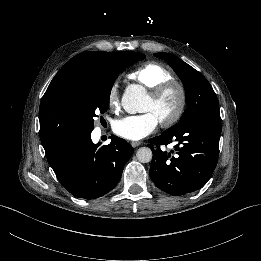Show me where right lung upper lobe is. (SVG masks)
I'll use <instances>...</instances> for the list:
<instances>
[{
	"instance_id": "obj_1",
	"label": "right lung upper lobe",
	"mask_w": 261,
	"mask_h": 261,
	"mask_svg": "<svg viewBox=\"0 0 261 261\" xmlns=\"http://www.w3.org/2000/svg\"><path fill=\"white\" fill-rule=\"evenodd\" d=\"M123 52H84L69 60L48 86L39 109L40 134L61 143L80 135L84 119L78 90L84 77L114 63Z\"/></svg>"
}]
</instances>
